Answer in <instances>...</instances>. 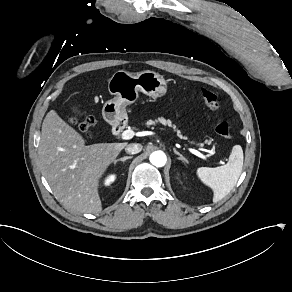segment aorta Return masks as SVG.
Listing matches in <instances>:
<instances>
[{"label": "aorta", "instance_id": "aorta-1", "mask_svg": "<svg viewBox=\"0 0 292 292\" xmlns=\"http://www.w3.org/2000/svg\"><path fill=\"white\" fill-rule=\"evenodd\" d=\"M150 162L156 167H163L167 162V157L163 152L157 151L150 155Z\"/></svg>", "mask_w": 292, "mask_h": 292}]
</instances>
